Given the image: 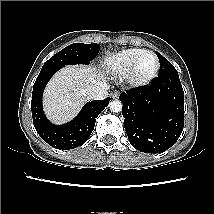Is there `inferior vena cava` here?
<instances>
[{
	"instance_id": "1",
	"label": "inferior vena cava",
	"mask_w": 214,
	"mask_h": 214,
	"mask_svg": "<svg viewBox=\"0 0 214 214\" xmlns=\"http://www.w3.org/2000/svg\"><path fill=\"white\" fill-rule=\"evenodd\" d=\"M109 85L99 83L98 85L90 86L86 89V96L90 100H104L108 97Z\"/></svg>"
}]
</instances>
